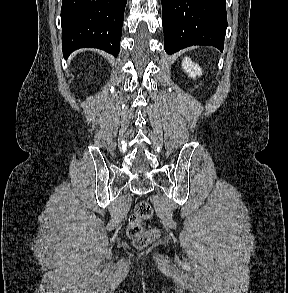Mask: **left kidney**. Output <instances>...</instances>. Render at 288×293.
Listing matches in <instances>:
<instances>
[{
  "mask_svg": "<svg viewBox=\"0 0 288 293\" xmlns=\"http://www.w3.org/2000/svg\"><path fill=\"white\" fill-rule=\"evenodd\" d=\"M182 67L185 73L189 75V77L195 78L196 76L202 75V69L187 57L183 59Z\"/></svg>",
  "mask_w": 288,
  "mask_h": 293,
  "instance_id": "obj_1",
  "label": "left kidney"
}]
</instances>
